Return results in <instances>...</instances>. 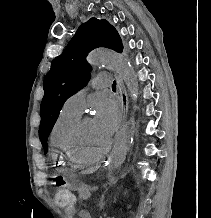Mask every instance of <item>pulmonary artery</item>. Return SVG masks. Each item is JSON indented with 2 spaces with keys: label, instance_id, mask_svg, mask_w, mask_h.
Segmentation results:
<instances>
[{
  "label": "pulmonary artery",
  "instance_id": "obj_1",
  "mask_svg": "<svg viewBox=\"0 0 211 218\" xmlns=\"http://www.w3.org/2000/svg\"><path fill=\"white\" fill-rule=\"evenodd\" d=\"M92 80V87H96V91H101V87H107L111 85V74L100 73ZM87 94V89H81L76 93L72 94L65 102L64 106L78 114H82L85 108V97Z\"/></svg>",
  "mask_w": 211,
  "mask_h": 218
}]
</instances>
